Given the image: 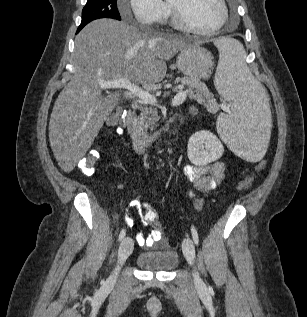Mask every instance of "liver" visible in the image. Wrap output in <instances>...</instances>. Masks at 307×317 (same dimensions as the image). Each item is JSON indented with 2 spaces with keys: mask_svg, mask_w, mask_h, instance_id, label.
Returning <instances> with one entry per match:
<instances>
[{
  "mask_svg": "<svg viewBox=\"0 0 307 317\" xmlns=\"http://www.w3.org/2000/svg\"><path fill=\"white\" fill-rule=\"evenodd\" d=\"M188 45L112 19L84 27L75 38L74 75L56 99L49 122L50 145L61 169H74L119 103V91L104 97L99 81L152 86L166 76V61Z\"/></svg>",
  "mask_w": 307,
  "mask_h": 317,
  "instance_id": "1",
  "label": "liver"
}]
</instances>
